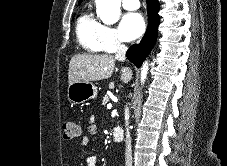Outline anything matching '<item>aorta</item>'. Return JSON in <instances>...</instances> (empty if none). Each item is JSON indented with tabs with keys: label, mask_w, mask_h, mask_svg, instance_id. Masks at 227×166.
<instances>
[{
	"label": "aorta",
	"mask_w": 227,
	"mask_h": 166,
	"mask_svg": "<svg viewBox=\"0 0 227 166\" xmlns=\"http://www.w3.org/2000/svg\"><path fill=\"white\" fill-rule=\"evenodd\" d=\"M97 15L107 25L114 24L120 16L121 0H95ZM148 62H145L141 69V80L146 79Z\"/></svg>",
	"instance_id": "1"
}]
</instances>
